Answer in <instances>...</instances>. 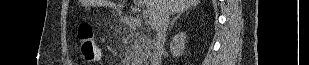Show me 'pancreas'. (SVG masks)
I'll list each match as a JSON object with an SVG mask.
<instances>
[{
  "mask_svg": "<svg viewBox=\"0 0 309 65\" xmlns=\"http://www.w3.org/2000/svg\"><path fill=\"white\" fill-rule=\"evenodd\" d=\"M131 46L129 48V59L135 61L141 55L151 49V41L144 34H136L132 36Z\"/></svg>",
  "mask_w": 309,
  "mask_h": 65,
  "instance_id": "cf45deb5",
  "label": "pancreas"
}]
</instances>
